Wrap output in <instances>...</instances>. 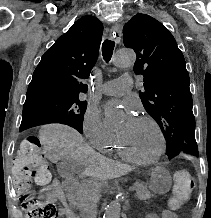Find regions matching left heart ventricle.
<instances>
[{
	"label": "left heart ventricle",
	"instance_id": "1",
	"mask_svg": "<svg viewBox=\"0 0 211 218\" xmlns=\"http://www.w3.org/2000/svg\"><path fill=\"white\" fill-rule=\"evenodd\" d=\"M118 135L127 149L139 157H152L160 147L159 136L155 128L150 122L141 118H138L130 127L124 125L120 127Z\"/></svg>",
	"mask_w": 211,
	"mask_h": 218
}]
</instances>
